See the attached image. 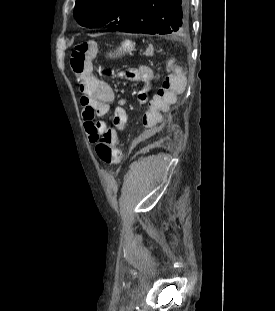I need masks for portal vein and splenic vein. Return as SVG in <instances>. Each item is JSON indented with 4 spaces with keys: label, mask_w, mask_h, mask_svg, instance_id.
<instances>
[{
    "label": "portal vein and splenic vein",
    "mask_w": 275,
    "mask_h": 311,
    "mask_svg": "<svg viewBox=\"0 0 275 311\" xmlns=\"http://www.w3.org/2000/svg\"><path fill=\"white\" fill-rule=\"evenodd\" d=\"M153 54V49H149L147 52H146V55H152Z\"/></svg>",
    "instance_id": "portal-vein-and-splenic-vein-1"
}]
</instances>
